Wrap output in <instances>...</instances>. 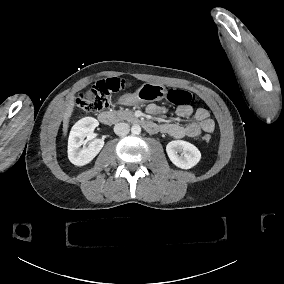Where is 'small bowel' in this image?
Returning a JSON list of instances; mask_svg holds the SVG:
<instances>
[{"label":"small bowel","mask_w":284,"mask_h":284,"mask_svg":"<svg viewBox=\"0 0 284 284\" xmlns=\"http://www.w3.org/2000/svg\"><path fill=\"white\" fill-rule=\"evenodd\" d=\"M146 110L150 115H158L165 112L164 107L158 104H150L147 106ZM174 115L178 119H185L193 116L194 121L186 125L176 122H166L162 124L146 122L145 129L150 133L161 131L175 139L185 137L195 138L203 132L211 134L215 129V122L210 117V113L206 108H198L194 111L191 106L182 105L176 108Z\"/></svg>","instance_id":"1"}]
</instances>
